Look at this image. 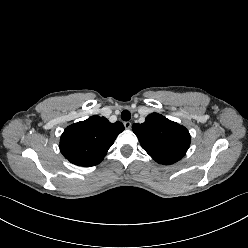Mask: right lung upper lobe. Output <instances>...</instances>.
Listing matches in <instances>:
<instances>
[{
	"label": "right lung upper lobe",
	"instance_id": "right-lung-upper-lobe-1",
	"mask_svg": "<svg viewBox=\"0 0 248 248\" xmlns=\"http://www.w3.org/2000/svg\"><path fill=\"white\" fill-rule=\"evenodd\" d=\"M123 130L121 122L110 123L105 117L91 116L64 130L60 138L61 153L75 165H97Z\"/></svg>",
	"mask_w": 248,
	"mask_h": 248
}]
</instances>
